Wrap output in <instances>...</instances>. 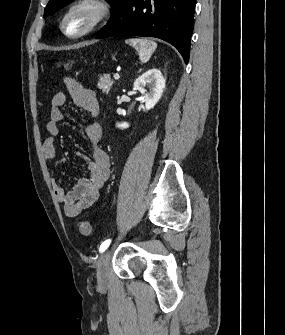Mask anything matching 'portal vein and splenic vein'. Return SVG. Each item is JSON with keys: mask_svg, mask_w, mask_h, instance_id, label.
I'll return each mask as SVG.
<instances>
[{"mask_svg": "<svg viewBox=\"0 0 285 335\" xmlns=\"http://www.w3.org/2000/svg\"><path fill=\"white\" fill-rule=\"evenodd\" d=\"M113 78H114V80H119L120 76H119V74H114Z\"/></svg>", "mask_w": 285, "mask_h": 335, "instance_id": "1", "label": "portal vein and splenic vein"}]
</instances>
